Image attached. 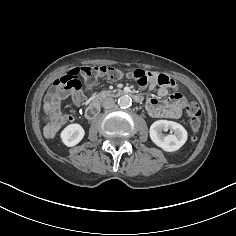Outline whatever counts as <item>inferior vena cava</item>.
<instances>
[{
	"instance_id": "1",
	"label": "inferior vena cava",
	"mask_w": 236,
	"mask_h": 236,
	"mask_svg": "<svg viewBox=\"0 0 236 236\" xmlns=\"http://www.w3.org/2000/svg\"><path fill=\"white\" fill-rule=\"evenodd\" d=\"M114 105H115V101L113 98L107 97L102 101V106L105 109H110L114 107Z\"/></svg>"
}]
</instances>
